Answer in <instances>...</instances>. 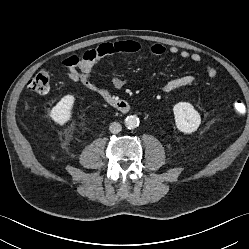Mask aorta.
Masks as SVG:
<instances>
[{
	"instance_id": "1",
	"label": "aorta",
	"mask_w": 249,
	"mask_h": 249,
	"mask_svg": "<svg viewBox=\"0 0 249 249\" xmlns=\"http://www.w3.org/2000/svg\"><path fill=\"white\" fill-rule=\"evenodd\" d=\"M124 123L128 129H135L139 126V119L134 115H130L126 117Z\"/></svg>"
}]
</instances>
